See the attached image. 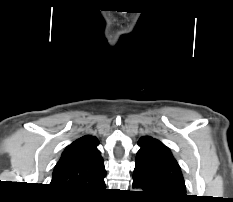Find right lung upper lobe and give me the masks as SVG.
Instances as JSON below:
<instances>
[{
	"label": "right lung upper lobe",
	"instance_id": "right-lung-upper-lobe-1",
	"mask_svg": "<svg viewBox=\"0 0 233 202\" xmlns=\"http://www.w3.org/2000/svg\"><path fill=\"white\" fill-rule=\"evenodd\" d=\"M98 140L83 136L67 146L53 171L50 186L71 196H90L105 188L106 170Z\"/></svg>",
	"mask_w": 233,
	"mask_h": 202
}]
</instances>
